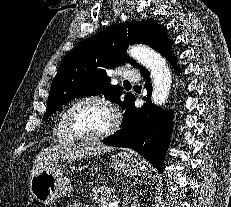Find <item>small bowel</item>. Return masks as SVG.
<instances>
[{
  "mask_svg": "<svg viewBox=\"0 0 231 207\" xmlns=\"http://www.w3.org/2000/svg\"><path fill=\"white\" fill-rule=\"evenodd\" d=\"M67 207H84V206L82 204H80V203H74V204L69 205Z\"/></svg>",
  "mask_w": 231,
  "mask_h": 207,
  "instance_id": "1",
  "label": "small bowel"
}]
</instances>
